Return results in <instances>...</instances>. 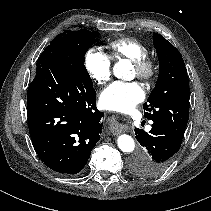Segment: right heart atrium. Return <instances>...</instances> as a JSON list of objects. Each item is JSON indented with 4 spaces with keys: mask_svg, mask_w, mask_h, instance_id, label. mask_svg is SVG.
<instances>
[{
    "mask_svg": "<svg viewBox=\"0 0 211 211\" xmlns=\"http://www.w3.org/2000/svg\"><path fill=\"white\" fill-rule=\"evenodd\" d=\"M86 70L97 85H104L111 78V59L97 48L89 49L84 57Z\"/></svg>",
    "mask_w": 211,
    "mask_h": 211,
    "instance_id": "obj_1",
    "label": "right heart atrium"
}]
</instances>
